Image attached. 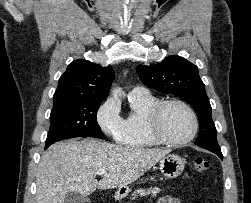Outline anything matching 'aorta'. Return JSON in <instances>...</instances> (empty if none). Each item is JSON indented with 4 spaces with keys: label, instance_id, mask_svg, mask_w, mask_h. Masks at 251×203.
<instances>
[{
    "label": "aorta",
    "instance_id": "1",
    "mask_svg": "<svg viewBox=\"0 0 251 203\" xmlns=\"http://www.w3.org/2000/svg\"><path fill=\"white\" fill-rule=\"evenodd\" d=\"M123 92L120 88H114L112 91L113 97L118 100L122 96Z\"/></svg>",
    "mask_w": 251,
    "mask_h": 203
}]
</instances>
